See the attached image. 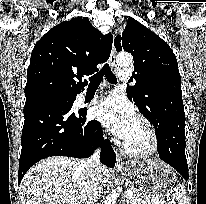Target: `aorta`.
Wrapping results in <instances>:
<instances>
[{"label": "aorta", "mask_w": 206, "mask_h": 204, "mask_svg": "<svg viewBox=\"0 0 206 204\" xmlns=\"http://www.w3.org/2000/svg\"><path fill=\"white\" fill-rule=\"evenodd\" d=\"M116 61L119 66H129L133 62V59L130 54L120 53L117 55ZM117 197V192H111L109 195H107L104 204H116Z\"/></svg>", "instance_id": "1"}]
</instances>
